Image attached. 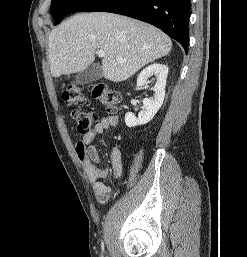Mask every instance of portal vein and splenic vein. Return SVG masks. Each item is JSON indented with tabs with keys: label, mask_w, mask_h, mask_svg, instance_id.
I'll use <instances>...</instances> for the list:
<instances>
[{
	"label": "portal vein and splenic vein",
	"mask_w": 247,
	"mask_h": 257,
	"mask_svg": "<svg viewBox=\"0 0 247 257\" xmlns=\"http://www.w3.org/2000/svg\"><path fill=\"white\" fill-rule=\"evenodd\" d=\"M97 55L99 57H104L105 56V52L103 50H98L97 51ZM118 61H123L122 59H118Z\"/></svg>",
	"instance_id": "18ae733b"
}]
</instances>
